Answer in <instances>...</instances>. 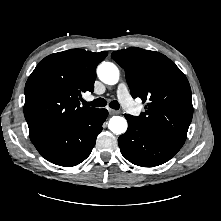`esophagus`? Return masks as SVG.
Returning a JSON list of instances; mask_svg holds the SVG:
<instances>
[{"label": "esophagus", "instance_id": "1", "mask_svg": "<svg viewBox=\"0 0 221 221\" xmlns=\"http://www.w3.org/2000/svg\"><path fill=\"white\" fill-rule=\"evenodd\" d=\"M108 111L111 115L119 114V111L111 109V108H108Z\"/></svg>", "mask_w": 221, "mask_h": 221}]
</instances>
